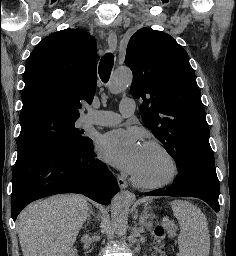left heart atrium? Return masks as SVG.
Masks as SVG:
<instances>
[{
	"label": "left heart atrium",
	"instance_id": "39dd6f15",
	"mask_svg": "<svg viewBox=\"0 0 236 256\" xmlns=\"http://www.w3.org/2000/svg\"><path fill=\"white\" fill-rule=\"evenodd\" d=\"M144 144L137 129H117L105 134L99 143L102 156L111 165L133 173L139 162Z\"/></svg>",
	"mask_w": 236,
	"mask_h": 256
}]
</instances>
